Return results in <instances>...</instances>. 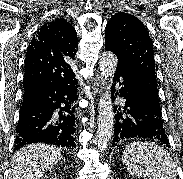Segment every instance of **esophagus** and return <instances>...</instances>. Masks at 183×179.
<instances>
[{"label": "esophagus", "mask_w": 183, "mask_h": 179, "mask_svg": "<svg viewBox=\"0 0 183 179\" xmlns=\"http://www.w3.org/2000/svg\"><path fill=\"white\" fill-rule=\"evenodd\" d=\"M98 85H99V77L96 80V86H98ZM95 89L97 90V88H95Z\"/></svg>", "instance_id": "obj_1"}]
</instances>
